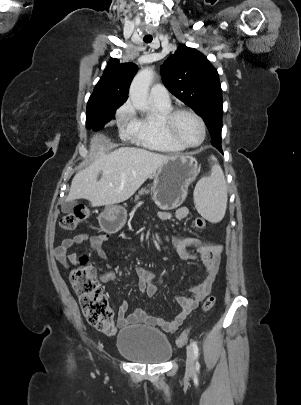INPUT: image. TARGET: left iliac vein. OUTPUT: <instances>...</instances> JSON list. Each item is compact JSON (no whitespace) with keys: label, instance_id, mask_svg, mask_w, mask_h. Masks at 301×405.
Segmentation results:
<instances>
[{"label":"left iliac vein","instance_id":"obj_1","mask_svg":"<svg viewBox=\"0 0 301 405\" xmlns=\"http://www.w3.org/2000/svg\"><path fill=\"white\" fill-rule=\"evenodd\" d=\"M194 372V351L189 345L187 346L186 374L191 376Z\"/></svg>","mask_w":301,"mask_h":405}]
</instances>
